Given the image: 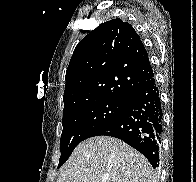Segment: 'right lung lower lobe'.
Returning <instances> with one entry per match:
<instances>
[{"label": "right lung lower lobe", "instance_id": "obj_1", "mask_svg": "<svg viewBox=\"0 0 196 182\" xmlns=\"http://www.w3.org/2000/svg\"><path fill=\"white\" fill-rule=\"evenodd\" d=\"M163 132L162 108L154 76L129 101L127 108L101 126L91 137L119 138L158 166Z\"/></svg>", "mask_w": 196, "mask_h": 182}]
</instances>
